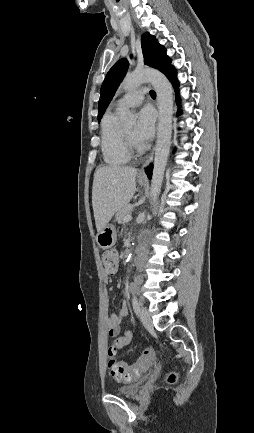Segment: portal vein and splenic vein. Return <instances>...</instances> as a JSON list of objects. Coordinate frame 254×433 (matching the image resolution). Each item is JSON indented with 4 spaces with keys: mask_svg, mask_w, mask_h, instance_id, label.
<instances>
[{
    "mask_svg": "<svg viewBox=\"0 0 254 433\" xmlns=\"http://www.w3.org/2000/svg\"><path fill=\"white\" fill-rule=\"evenodd\" d=\"M132 219V216L131 215H127L125 218H124V222H128L129 220H131Z\"/></svg>",
    "mask_w": 254,
    "mask_h": 433,
    "instance_id": "1",
    "label": "portal vein and splenic vein"
}]
</instances>
